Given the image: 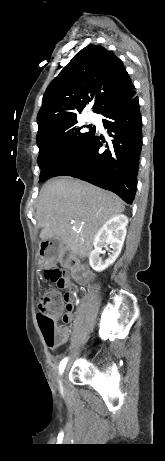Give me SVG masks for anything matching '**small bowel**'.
<instances>
[{"mask_svg": "<svg viewBox=\"0 0 165 461\" xmlns=\"http://www.w3.org/2000/svg\"><path fill=\"white\" fill-rule=\"evenodd\" d=\"M72 261L74 263H71ZM78 261H79V258L77 256H74L73 258L71 256H64L63 260L60 262V265L62 266V269H61L62 278L63 280H67V283H68L67 289L69 290V291L61 292L63 307L64 309H69L67 313H61V320L64 323H69L72 320L73 318L72 311L76 306L74 295L76 293L77 287L70 280H72L73 276L74 277L79 276L80 282H85L88 279V276L86 274H80L79 272V271H86L88 269V264L87 263H77ZM59 335H60V339L57 345L55 346V348L60 347L68 342L70 335H71L70 328L66 325L62 326L59 330Z\"/></svg>", "mask_w": 165, "mask_h": 461, "instance_id": "1", "label": "small bowel"}]
</instances>
